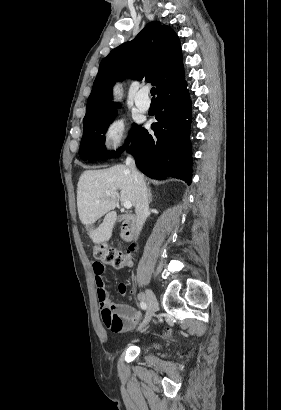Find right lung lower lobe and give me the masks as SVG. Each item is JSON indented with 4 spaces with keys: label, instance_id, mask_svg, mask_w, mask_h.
Listing matches in <instances>:
<instances>
[{
    "label": "right lung lower lobe",
    "instance_id": "98d812e1",
    "mask_svg": "<svg viewBox=\"0 0 281 410\" xmlns=\"http://www.w3.org/2000/svg\"><path fill=\"white\" fill-rule=\"evenodd\" d=\"M154 135L138 128L128 149L137 167L154 179L176 177L190 184L192 152L189 140L191 103L185 81L156 98Z\"/></svg>",
    "mask_w": 281,
    "mask_h": 410
}]
</instances>
